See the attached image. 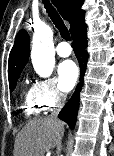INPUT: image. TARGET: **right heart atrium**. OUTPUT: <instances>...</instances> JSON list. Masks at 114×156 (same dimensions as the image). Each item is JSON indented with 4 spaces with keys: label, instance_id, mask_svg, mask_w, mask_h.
<instances>
[{
    "label": "right heart atrium",
    "instance_id": "1",
    "mask_svg": "<svg viewBox=\"0 0 114 156\" xmlns=\"http://www.w3.org/2000/svg\"><path fill=\"white\" fill-rule=\"evenodd\" d=\"M32 91L36 100L45 110L57 107L65 100V94L59 89L53 78L36 80Z\"/></svg>",
    "mask_w": 114,
    "mask_h": 156
}]
</instances>
